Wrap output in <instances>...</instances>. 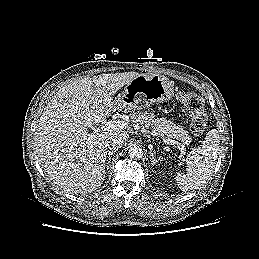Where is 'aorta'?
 I'll list each match as a JSON object with an SVG mask.
<instances>
[{
	"mask_svg": "<svg viewBox=\"0 0 259 259\" xmlns=\"http://www.w3.org/2000/svg\"><path fill=\"white\" fill-rule=\"evenodd\" d=\"M128 156L131 158V159H134V160H139L142 158L143 156V150L142 148L138 147V146H132L129 148L128 150Z\"/></svg>",
	"mask_w": 259,
	"mask_h": 259,
	"instance_id": "1",
	"label": "aorta"
}]
</instances>
